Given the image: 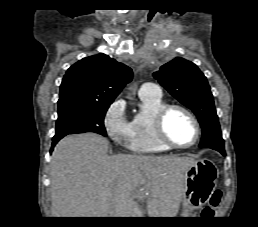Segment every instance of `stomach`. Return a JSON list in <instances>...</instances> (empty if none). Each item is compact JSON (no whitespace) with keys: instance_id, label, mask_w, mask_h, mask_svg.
I'll use <instances>...</instances> for the list:
<instances>
[{"instance_id":"0dacf381","label":"stomach","mask_w":258,"mask_h":227,"mask_svg":"<svg viewBox=\"0 0 258 227\" xmlns=\"http://www.w3.org/2000/svg\"><path fill=\"white\" fill-rule=\"evenodd\" d=\"M217 177L218 169L208 159L198 160L187 168L184 174L182 215H187L189 212L200 208L209 201L216 188Z\"/></svg>"}]
</instances>
